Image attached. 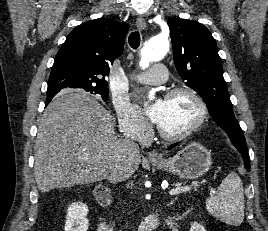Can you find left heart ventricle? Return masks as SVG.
<instances>
[{
	"mask_svg": "<svg viewBox=\"0 0 268 231\" xmlns=\"http://www.w3.org/2000/svg\"><path fill=\"white\" fill-rule=\"evenodd\" d=\"M195 102L185 94L163 100L157 124L168 133L187 129L197 118Z\"/></svg>",
	"mask_w": 268,
	"mask_h": 231,
	"instance_id": "left-heart-ventricle-1",
	"label": "left heart ventricle"
}]
</instances>
